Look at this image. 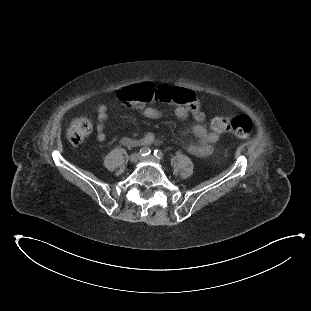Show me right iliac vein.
<instances>
[{
	"label": "right iliac vein",
	"instance_id": "63e3f726",
	"mask_svg": "<svg viewBox=\"0 0 311 311\" xmlns=\"http://www.w3.org/2000/svg\"><path fill=\"white\" fill-rule=\"evenodd\" d=\"M140 159H141V155L139 153H133L130 155V158H129L130 162H132V163H136Z\"/></svg>",
	"mask_w": 311,
	"mask_h": 311
}]
</instances>
